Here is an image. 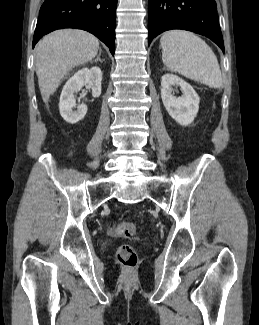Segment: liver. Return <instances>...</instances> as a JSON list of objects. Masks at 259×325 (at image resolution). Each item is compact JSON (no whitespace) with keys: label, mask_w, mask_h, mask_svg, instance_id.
<instances>
[{"label":"liver","mask_w":259,"mask_h":325,"mask_svg":"<svg viewBox=\"0 0 259 325\" xmlns=\"http://www.w3.org/2000/svg\"><path fill=\"white\" fill-rule=\"evenodd\" d=\"M99 41L78 29H62L46 35L36 46V74L43 101L47 104L66 73L91 61Z\"/></svg>","instance_id":"liver-1"}]
</instances>
